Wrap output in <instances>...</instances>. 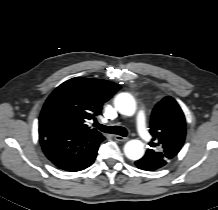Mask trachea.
<instances>
[{
    "label": "trachea",
    "instance_id": "obj_1",
    "mask_svg": "<svg viewBox=\"0 0 218 210\" xmlns=\"http://www.w3.org/2000/svg\"><path fill=\"white\" fill-rule=\"evenodd\" d=\"M94 126H96L100 131L105 133H111V134H117L123 137L127 136V130L124 127L121 126H104L102 124L96 123Z\"/></svg>",
    "mask_w": 218,
    "mask_h": 210
}]
</instances>
